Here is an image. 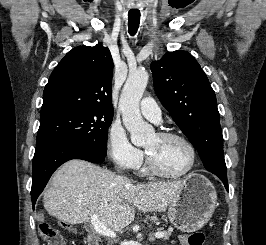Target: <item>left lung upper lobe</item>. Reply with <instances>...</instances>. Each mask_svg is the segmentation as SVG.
Wrapping results in <instances>:
<instances>
[{
    "label": "left lung upper lobe",
    "mask_w": 266,
    "mask_h": 245,
    "mask_svg": "<svg viewBox=\"0 0 266 245\" xmlns=\"http://www.w3.org/2000/svg\"><path fill=\"white\" fill-rule=\"evenodd\" d=\"M150 68L156 95L195 146L204 167L226 175L215 92L196 59L186 51L167 52Z\"/></svg>",
    "instance_id": "1"
}]
</instances>
